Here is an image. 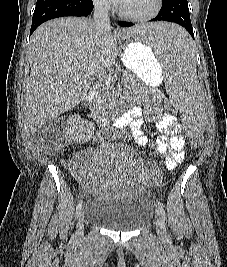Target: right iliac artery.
<instances>
[{
  "instance_id": "obj_1",
  "label": "right iliac artery",
  "mask_w": 227,
  "mask_h": 267,
  "mask_svg": "<svg viewBox=\"0 0 227 267\" xmlns=\"http://www.w3.org/2000/svg\"><path fill=\"white\" fill-rule=\"evenodd\" d=\"M82 204H83V201L80 200L77 204V207H76V218L78 217V215L80 214V211L82 209Z\"/></svg>"
}]
</instances>
